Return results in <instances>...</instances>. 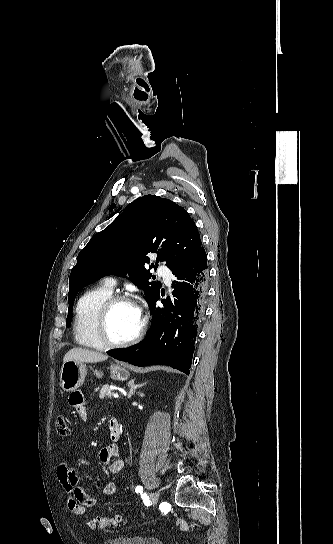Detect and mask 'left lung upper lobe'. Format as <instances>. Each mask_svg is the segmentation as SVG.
I'll return each mask as SVG.
<instances>
[{"label": "left lung upper lobe", "mask_w": 333, "mask_h": 544, "mask_svg": "<svg viewBox=\"0 0 333 544\" xmlns=\"http://www.w3.org/2000/svg\"><path fill=\"white\" fill-rule=\"evenodd\" d=\"M202 246L198 229L186 210L171 200L146 195L130 203L103 231L91 238L79 253L69 278V312L78 291L100 276L128 273L150 303L160 293V282H149L152 274L145 268L149 253L157 262L165 261L174 270L185 265Z\"/></svg>", "instance_id": "left-lung-upper-lobe-1"}]
</instances>
